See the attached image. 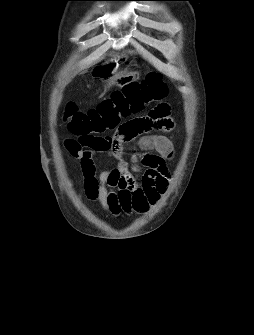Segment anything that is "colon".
Returning a JSON list of instances; mask_svg holds the SVG:
<instances>
[{"label":"colon","instance_id":"colon-1","mask_svg":"<svg viewBox=\"0 0 254 335\" xmlns=\"http://www.w3.org/2000/svg\"><path fill=\"white\" fill-rule=\"evenodd\" d=\"M167 92L168 87L161 74L150 72L144 80L129 83L122 90L114 91L95 109L83 112L74 104H68L65 121L85 148L108 151L111 142L104 134L116 130L117 124H125L122 123L124 118L140 113L149 104L159 102Z\"/></svg>","mask_w":254,"mask_h":335}]
</instances>
